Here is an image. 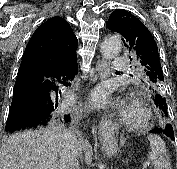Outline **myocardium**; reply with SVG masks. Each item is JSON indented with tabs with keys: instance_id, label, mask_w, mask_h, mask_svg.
Masks as SVG:
<instances>
[{
	"instance_id": "1",
	"label": "myocardium",
	"mask_w": 177,
	"mask_h": 169,
	"mask_svg": "<svg viewBox=\"0 0 177 169\" xmlns=\"http://www.w3.org/2000/svg\"><path fill=\"white\" fill-rule=\"evenodd\" d=\"M150 117L149 109L136 99L129 102L120 113L121 123L132 130L144 128L148 124Z\"/></svg>"
}]
</instances>
